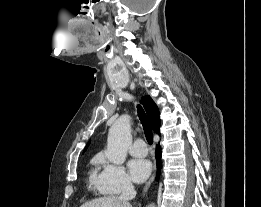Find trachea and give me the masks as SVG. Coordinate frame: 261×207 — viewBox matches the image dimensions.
I'll return each instance as SVG.
<instances>
[{
  "mask_svg": "<svg viewBox=\"0 0 261 207\" xmlns=\"http://www.w3.org/2000/svg\"><path fill=\"white\" fill-rule=\"evenodd\" d=\"M137 112H138V117L141 121V124L143 125L144 134L147 139V142L151 145V144H153V133L148 124L146 114L140 105L137 106Z\"/></svg>",
  "mask_w": 261,
  "mask_h": 207,
  "instance_id": "3493384b",
  "label": "trachea"
}]
</instances>
